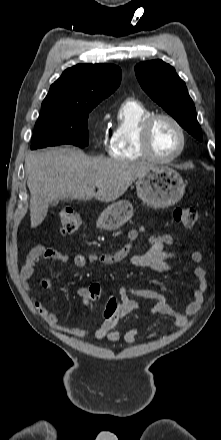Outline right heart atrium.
<instances>
[{"mask_svg": "<svg viewBox=\"0 0 221 440\" xmlns=\"http://www.w3.org/2000/svg\"><path fill=\"white\" fill-rule=\"evenodd\" d=\"M107 119V116L103 119V121H105Z\"/></svg>", "mask_w": 221, "mask_h": 440, "instance_id": "1", "label": "right heart atrium"}]
</instances>
